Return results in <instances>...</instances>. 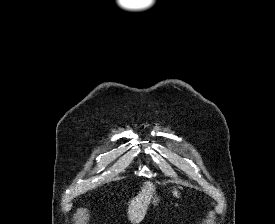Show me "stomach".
<instances>
[{"mask_svg":"<svg viewBox=\"0 0 275 224\" xmlns=\"http://www.w3.org/2000/svg\"><path fill=\"white\" fill-rule=\"evenodd\" d=\"M158 202H159V198L158 197L155 196V197L152 198V204L153 205H157Z\"/></svg>","mask_w":275,"mask_h":224,"instance_id":"obj_1","label":"stomach"}]
</instances>
